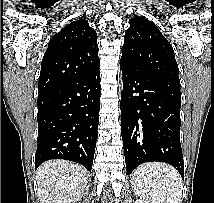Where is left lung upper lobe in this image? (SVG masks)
<instances>
[{"label": "left lung upper lobe", "instance_id": "5c2ea615", "mask_svg": "<svg viewBox=\"0 0 214 203\" xmlns=\"http://www.w3.org/2000/svg\"><path fill=\"white\" fill-rule=\"evenodd\" d=\"M129 23L121 60L132 68L180 84L173 48L158 27L139 16L130 19Z\"/></svg>", "mask_w": 214, "mask_h": 203}]
</instances>
